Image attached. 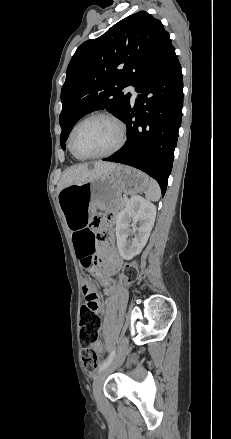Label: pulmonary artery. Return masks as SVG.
Instances as JSON below:
<instances>
[{
    "label": "pulmonary artery",
    "mask_w": 231,
    "mask_h": 439,
    "mask_svg": "<svg viewBox=\"0 0 231 439\" xmlns=\"http://www.w3.org/2000/svg\"><path fill=\"white\" fill-rule=\"evenodd\" d=\"M135 86L134 85H130L129 87H127V91L131 93L132 95V99H136L137 98V92L135 90Z\"/></svg>",
    "instance_id": "obj_1"
}]
</instances>
